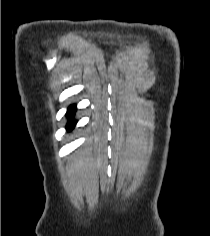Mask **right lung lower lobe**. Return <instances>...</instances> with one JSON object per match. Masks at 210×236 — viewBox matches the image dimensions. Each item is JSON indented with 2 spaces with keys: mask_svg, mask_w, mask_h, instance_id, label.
<instances>
[{
  "mask_svg": "<svg viewBox=\"0 0 210 236\" xmlns=\"http://www.w3.org/2000/svg\"><path fill=\"white\" fill-rule=\"evenodd\" d=\"M76 110V107L73 105V106H70L69 109H68V112H67V116L68 117H71L73 115V113L75 112ZM76 124V121L74 120H71L69 121L68 125H67V130H71Z\"/></svg>",
  "mask_w": 210,
  "mask_h": 236,
  "instance_id": "98d812e1",
  "label": "right lung lower lobe"
}]
</instances>
